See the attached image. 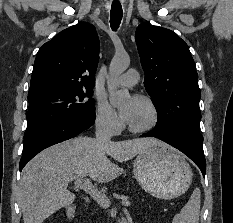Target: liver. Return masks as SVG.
<instances>
[{"label": "liver", "mask_w": 233, "mask_h": 223, "mask_svg": "<svg viewBox=\"0 0 233 223\" xmlns=\"http://www.w3.org/2000/svg\"><path fill=\"white\" fill-rule=\"evenodd\" d=\"M160 143L155 137H135L98 145L96 137L85 135L43 149L21 171L18 199L24 223H43L61 207L71 205L76 199L68 189L72 179L89 175L98 183L112 181L124 169L110 157L123 163Z\"/></svg>", "instance_id": "liver-1"}]
</instances>
